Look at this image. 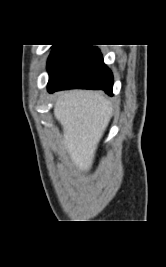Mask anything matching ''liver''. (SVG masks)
<instances>
[{
    "instance_id": "6515ba94",
    "label": "liver",
    "mask_w": 166,
    "mask_h": 267,
    "mask_svg": "<svg viewBox=\"0 0 166 267\" xmlns=\"http://www.w3.org/2000/svg\"><path fill=\"white\" fill-rule=\"evenodd\" d=\"M54 115L63 128V143L73 164L81 172L89 171L112 116L110 102L96 91H65L55 98Z\"/></svg>"
}]
</instances>
